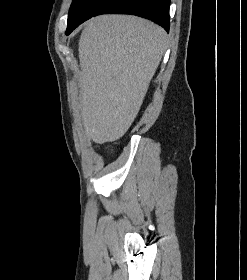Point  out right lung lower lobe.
<instances>
[{
  "mask_svg": "<svg viewBox=\"0 0 247 280\" xmlns=\"http://www.w3.org/2000/svg\"><path fill=\"white\" fill-rule=\"evenodd\" d=\"M170 0H107L94 16L100 14L122 13L144 17L169 31ZM78 25L67 28L70 34Z\"/></svg>",
  "mask_w": 247,
  "mask_h": 280,
  "instance_id": "right-lung-lower-lobe-1",
  "label": "right lung lower lobe"
}]
</instances>
